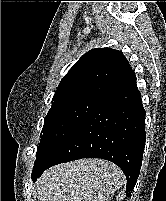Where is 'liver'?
<instances>
[{
	"label": "liver",
	"instance_id": "liver-1",
	"mask_svg": "<svg viewBox=\"0 0 166 201\" xmlns=\"http://www.w3.org/2000/svg\"><path fill=\"white\" fill-rule=\"evenodd\" d=\"M121 169L102 159H81L44 171L36 183L39 201H107L124 184Z\"/></svg>",
	"mask_w": 166,
	"mask_h": 201
}]
</instances>
